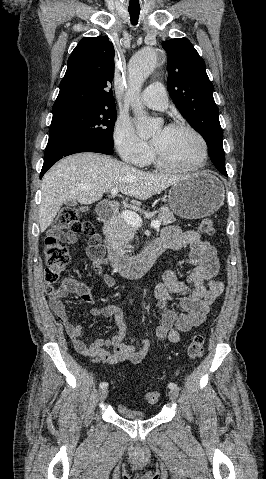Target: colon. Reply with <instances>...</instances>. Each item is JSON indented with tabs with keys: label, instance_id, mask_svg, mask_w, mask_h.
I'll return each mask as SVG.
<instances>
[{
	"label": "colon",
	"instance_id": "colon-1",
	"mask_svg": "<svg viewBox=\"0 0 266 479\" xmlns=\"http://www.w3.org/2000/svg\"><path fill=\"white\" fill-rule=\"evenodd\" d=\"M82 210L75 206L64 207L56 218L53 232L45 239L44 257H45V288L47 292H52L59 282L60 275L69 263V254L67 249L60 244L59 234L69 233L77 236L82 235L88 238L89 242L99 245V236L94 225L87 220H80ZM199 231L208 236L215 234L214 223L211 219H203L199 224ZM205 338L202 334L195 335L187 348V357L196 359L202 356L204 351ZM145 400L149 404H155L159 400L157 392H148Z\"/></svg>",
	"mask_w": 266,
	"mask_h": 479
}]
</instances>
